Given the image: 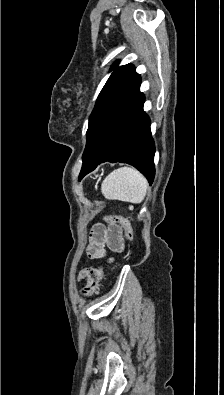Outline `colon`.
<instances>
[{
    "label": "colon",
    "instance_id": "colon-1",
    "mask_svg": "<svg viewBox=\"0 0 224 395\" xmlns=\"http://www.w3.org/2000/svg\"><path fill=\"white\" fill-rule=\"evenodd\" d=\"M106 220L110 223L111 228L114 230L123 228L124 238L126 240L132 239V230L127 219L117 215H108L106 216ZM86 275L87 281L82 287L81 293L84 296H92L97 292L100 281L103 277V267L101 265L90 267L87 269Z\"/></svg>",
    "mask_w": 224,
    "mask_h": 395
}]
</instances>
